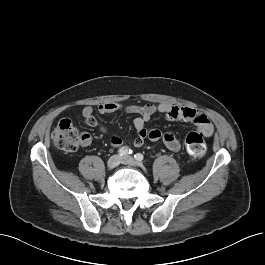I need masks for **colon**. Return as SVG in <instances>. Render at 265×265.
Returning <instances> with one entry per match:
<instances>
[{
	"mask_svg": "<svg viewBox=\"0 0 265 265\" xmlns=\"http://www.w3.org/2000/svg\"><path fill=\"white\" fill-rule=\"evenodd\" d=\"M55 145L65 151H76L81 143V135L68 119L61 120L52 133ZM185 146L188 154L194 158H200L205 154L206 142L203 134L197 131L189 132L185 137Z\"/></svg>",
	"mask_w": 265,
	"mask_h": 265,
	"instance_id": "colon-1",
	"label": "colon"
}]
</instances>
